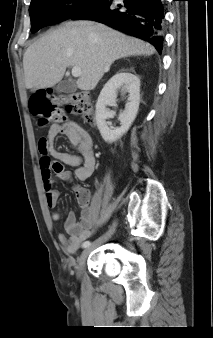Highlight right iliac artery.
<instances>
[{
	"mask_svg": "<svg viewBox=\"0 0 213 338\" xmlns=\"http://www.w3.org/2000/svg\"><path fill=\"white\" fill-rule=\"evenodd\" d=\"M91 245V242L90 241H85L82 245L83 248H87Z\"/></svg>",
	"mask_w": 213,
	"mask_h": 338,
	"instance_id": "obj_1",
	"label": "right iliac artery"
}]
</instances>
